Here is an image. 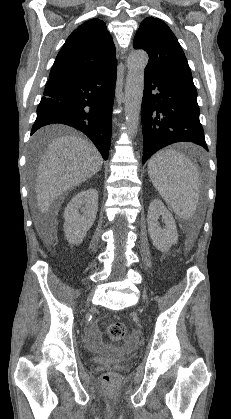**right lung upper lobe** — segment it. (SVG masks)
<instances>
[{
	"mask_svg": "<svg viewBox=\"0 0 231 419\" xmlns=\"http://www.w3.org/2000/svg\"><path fill=\"white\" fill-rule=\"evenodd\" d=\"M115 46L105 23L91 19L75 29L59 51L49 79L92 75L117 65Z\"/></svg>",
	"mask_w": 231,
	"mask_h": 419,
	"instance_id": "cb5924a9",
	"label": "right lung upper lobe"
}]
</instances>
